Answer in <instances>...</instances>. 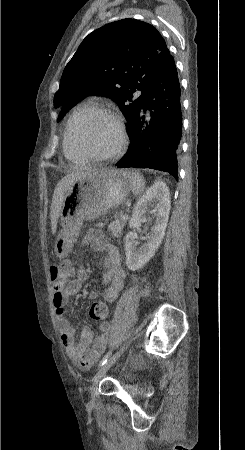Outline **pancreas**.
I'll use <instances>...</instances> for the list:
<instances>
[{
  "instance_id": "obj_1",
  "label": "pancreas",
  "mask_w": 245,
  "mask_h": 450,
  "mask_svg": "<svg viewBox=\"0 0 245 450\" xmlns=\"http://www.w3.org/2000/svg\"><path fill=\"white\" fill-rule=\"evenodd\" d=\"M126 220H123L120 217H116L115 220H113L109 225H108V230L109 232H111V235L114 237H120L123 227L125 225ZM105 225V223H98L96 224L97 227H103Z\"/></svg>"
}]
</instances>
